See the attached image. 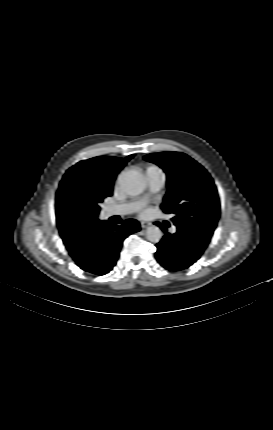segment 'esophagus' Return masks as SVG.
<instances>
[{
  "instance_id": "obj_1",
  "label": "esophagus",
  "mask_w": 273,
  "mask_h": 430,
  "mask_svg": "<svg viewBox=\"0 0 273 430\" xmlns=\"http://www.w3.org/2000/svg\"><path fill=\"white\" fill-rule=\"evenodd\" d=\"M150 225H151V223H149V222H145V221L141 222V228H147Z\"/></svg>"
}]
</instances>
